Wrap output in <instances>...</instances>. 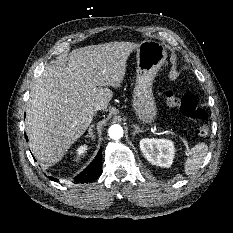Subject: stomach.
Instances as JSON below:
<instances>
[{
    "label": "stomach",
    "mask_w": 233,
    "mask_h": 233,
    "mask_svg": "<svg viewBox=\"0 0 233 233\" xmlns=\"http://www.w3.org/2000/svg\"><path fill=\"white\" fill-rule=\"evenodd\" d=\"M166 58L167 51L164 45L157 41L145 40L136 48L137 69L132 108L143 124H154L157 119L152 85Z\"/></svg>",
    "instance_id": "stomach-1"
}]
</instances>
